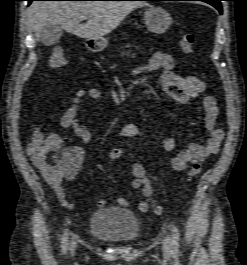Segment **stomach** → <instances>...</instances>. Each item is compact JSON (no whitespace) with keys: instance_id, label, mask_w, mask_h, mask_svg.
I'll use <instances>...</instances> for the list:
<instances>
[{"instance_id":"0dacf381","label":"stomach","mask_w":247,"mask_h":265,"mask_svg":"<svg viewBox=\"0 0 247 265\" xmlns=\"http://www.w3.org/2000/svg\"><path fill=\"white\" fill-rule=\"evenodd\" d=\"M145 25L149 31L153 33H163L172 23L170 14L163 8L158 6H149L144 12ZM108 45V40L101 38L92 40L88 47L95 52L103 51Z\"/></svg>"}]
</instances>
